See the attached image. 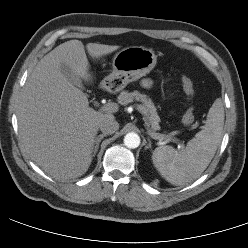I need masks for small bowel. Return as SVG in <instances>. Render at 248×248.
I'll list each match as a JSON object with an SVG mask.
<instances>
[{
    "instance_id": "1",
    "label": "small bowel",
    "mask_w": 248,
    "mask_h": 248,
    "mask_svg": "<svg viewBox=\"0 0 248 248\" xmlns=\"http://www.w3.org/2000/svg\"><path fill=\"white\" fill-rule=\"evenodd\" d=\"M141 85L142 87H144L145 89H149L152 87L153 85V81L149 78H145L141 81Z\"/></svg>"
}]
</instances>
